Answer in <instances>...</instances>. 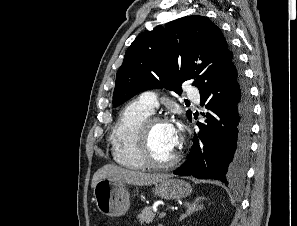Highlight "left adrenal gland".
Masks as SVG:
<instances>
[{
    "mask_svg": "<svg viewBox=\"0 0 297 226\" xmlns=\"http://www.w3.org/2000/svg\"><path fill=\"white\" fill-rule=\"evenodd\" d=\"M204 197H198L193 202H186L184 203V207L186 208V212L181 215L179 221H182L188 215L193 214L195 211L203 209V202Z\"/></svg>",
    "mask_w": 297,
    "mask_h": 226,
    "instance_id": "obj_1",
    "label": "left adrenal gland"
}]
</instances>
